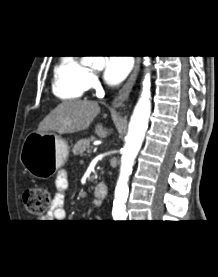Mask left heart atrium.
Masks as SVG:
<instances>
[{"label":"left heart atrium","mask_w":218,"mask_h":277,"mask_svg":"<svg viewBox=\"0 0 218 277\" xmlns=\"http://www.w3.org/2000/svg\"><path fill=\"white\" fill-rule=\"evenodd\" d=\"M132 61L127 57L106 58L104 77L107 83L115 85L120 83L129 73Z\"/></svg>","instance_id":"left-heart-atrium-1"}]
</instances>
